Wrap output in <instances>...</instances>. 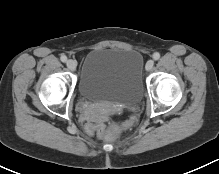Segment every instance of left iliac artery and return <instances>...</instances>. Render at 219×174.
Wrapping results in <instances>:
<instances>
[{
  "label": "left iliac artery",
  "instance_id": "left-iliac-artery-1",
  "mask_svg": "<svg viewBox=\"0 0 219 174\" xmlns=\"http://www.w3.org/2000/svg\"><path fill=\"white\" fill-rule=\"evenodd\" d=\"M160 58V54L158 53V52H155L154 54H153V59L154 60H158Z\"/></svg>",
  "mask_w": 219,
  "mask_h": 174
}]
</instances>
